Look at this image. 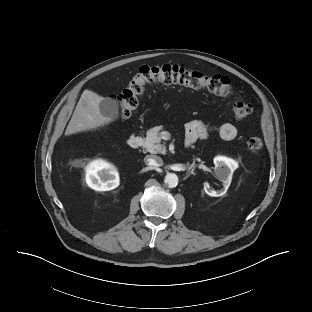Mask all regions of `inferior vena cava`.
Segmentation results:
<instances>
[{
	"mask_svg": "<svg viewBox=\"0 0 312 312\" xmlns=\"http://www.w3.org/2000/svg\"><path fill=\"white\" fill-rule=\"evenodd\" d=\"M145 163L146 165H149L151 167H159L163 165V160L161 157L156 156V155H148L145 157Z\"/></svg>",
	"mask_w": 312,
	"mask_h": 312,
	"instance_id": "1",
	"label": "inferior vena cava"
}]
</instances>
